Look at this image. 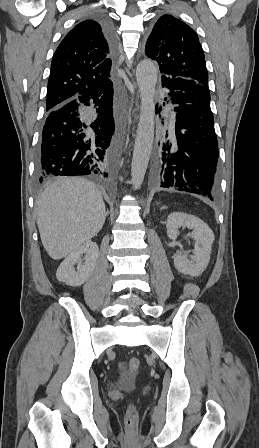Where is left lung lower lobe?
<instances>
[{"label": "left lung lower lobe", "instance_id": "0a47b994", "mask_svg": "<svg viewBox=\"0 0 259 448\" xmlns=\"http://www.w3.org/2000/svg\"><path fill=\"white\" fill-rule=\"evenodd\" d=\"M162 86L170 90L168 98L177 105L176 122L166 134L169 140L154 166L153 183L213 200L219 166L209 87L193 79L167 75H162Z\"/></svg>", "mask_w": 259, "mask_h": 448}]
</instances>
